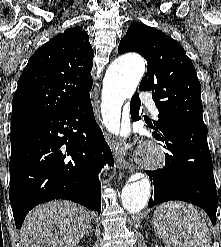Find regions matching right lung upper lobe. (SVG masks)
Listing matches in <instances>:
<instances>
[{
    "label": "right lung upper lobe",
    "instance_id": "1",
    "mask_svg": "<svg viewBox=\"0 0 221 247\" xmlns=\"http://www.w3.org/2000/svg\"><path fill=\"white\" fill-rule=\"evenodd\" d=\"M93 56L89 36L79 27L40 47L19 78L11 122L64 112L90 98Z\"/></svg>",
    "mask_w": 221,
    "mask_h": 247
}]
</instances>
